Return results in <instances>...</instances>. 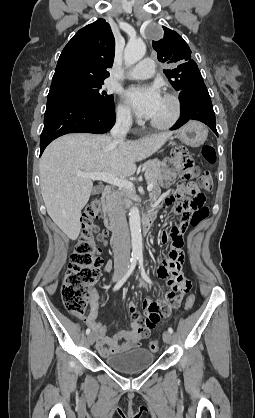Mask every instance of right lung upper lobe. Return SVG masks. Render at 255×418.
I'll use <instances>...</instances> for the list:
<instances>
[{
	"label": "right lung upper lobe",
	"mask_w": 255,
	"mask_h": 418,
	"mask_svg": "<svg viewBox=\"0 0 255 418\" xmlns=\"http://www.w3.org/2000/svg\"><path fill=\"white\" fill-rule=\"evenodd\" d=\"M115 40L110 25L104 19L80 29L63 49L52 84L67 82H104L107 68L114 61Z\"/></svg>",
	"instance_id": "cb5924a9"
}]
</instances>
